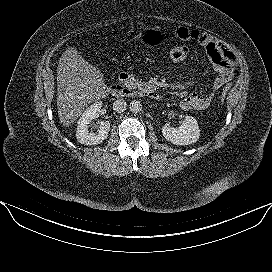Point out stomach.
Wrapping results in <instances>:
<instances>
[{
  "mask_svg": "<svg viewBox=\"0 0 272 272\" xmlns=\"http://www.w3.org/2000/svg\"><path fill=\"white\" fill-rule=\"evenodd\" d=\"M141 37L147 46H151L160 40L161 31L158 27H146L141 33Z\"/></svg>",
  "mask_w": 272,
  "mask_h": 272,
  "instance_id": "1",
  "label": "stomach"
}]
</instances>
